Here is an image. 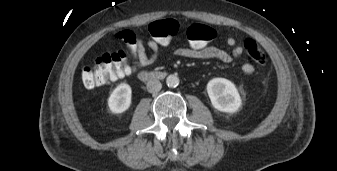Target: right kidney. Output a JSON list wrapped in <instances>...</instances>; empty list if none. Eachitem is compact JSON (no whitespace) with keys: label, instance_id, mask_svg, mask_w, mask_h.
Listing matches in <instances>:
<instances>
[{"label":"right kidney","instance_id":"1","mask_svg":"<svg viewBox=\"0 0 337 171\" xmlns=\"http://www.w3.org/2000/svg\"><path fill=\"white\" fill-rule=\"evenodd\" d=\"M131 87L122 83L117 86L108 99V106L112 113L118 114L126 111L131 105Z\"/></svg>","mask_w":337,"mask_h":171}]
</instances>
